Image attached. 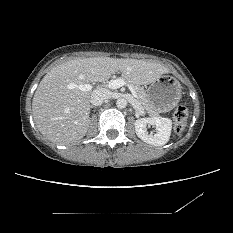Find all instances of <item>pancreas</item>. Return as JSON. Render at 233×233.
<instances>
[{
    "label": "pancreas",
    "mask_w": 233,
    "mask_h": 233,
    "mask_svg": "<svg viewBox=\"0 0 233 233\" xmlns=\"http://www.w3.org/2000/svg\"><path fill=\"white\" fill-rule=\"evenodd\" d=\"M125 82L127 85L128 84L132 85L134 89L136 90V93H137L136 101L141 105V107L144 108L148 114L152 116H157L158 112L155 111L148 102L146 91L138 84H135L128 80H125Z\"/></svg>",
    "instance_id": "cf45deb5"
}]
</instances>
